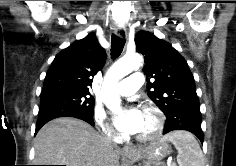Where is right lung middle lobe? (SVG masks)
Returning <instances> with one entry per match:
<instances>
[{"mask_svg": "<svg viewBox=\"0 0 236 166\" xmlns=\"http://www.w3.org/2000/svg\"><path fill=\"white\" fill-rule=\"evenodd\" d=\"M89 95V92L60 87L42 91L39 118L68 110L82 111L93 116L94 98Z\"/></svg>", "mask_w": 236, "mask_h": 166, "instance_id": "dd1d6c3e", "label": "right lung middle lobe"}]
</instances>
